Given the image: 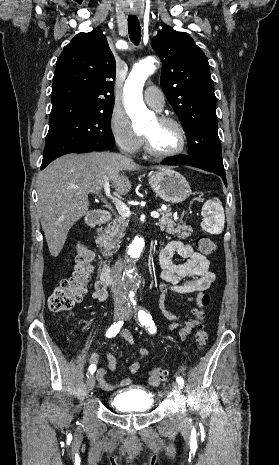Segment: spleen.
<instances>
[{"instance_id": "3e777b00", "label": "spleen", "mask_w": 279, "mask_h": 465, "mask_svg": "<svg viewBox=\"0 0 279 465\" xmlns=\"http://www.w3.org/2000/svg\"><path fill=\"white\" fill-rule=\"evenodd\" d=\"M203 221L201 227L211 234H220L224 229V209L217 199L207 200L202 207Z\"/></svg>"}]
</instances>
